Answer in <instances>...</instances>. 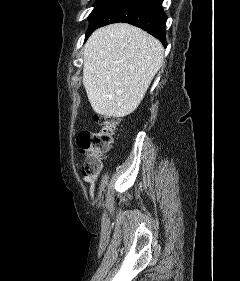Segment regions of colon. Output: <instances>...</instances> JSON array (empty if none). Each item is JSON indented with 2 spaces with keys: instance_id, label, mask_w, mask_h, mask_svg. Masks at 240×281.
Masks as SVG:
<instances>
[{
  "instance_id": "1",
  "label": "colon",
  "mask_w": 240,
  "mask_h": 281,
  "mask_svg": "<svg viewBox=\"0 0 240 281\" xmlns=\"http://www.w3.org/2000/svg\"><path fill=\"white\" fill-rule=\"evenodd\" d=\"M96 122L99 130L81 131L76 139L79 151L86 156L82 167L86 175H95L101 170L104 156L111 149L119 125L118 119L104 115L96 116Z\"/></svg>"
}]
</instances>
